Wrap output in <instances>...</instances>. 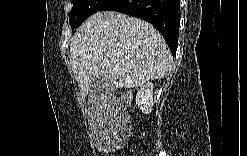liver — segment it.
<instances>
[{"mask_svg":"<svg viewBox=\"0 0 247 156\" xmlns=\"http://www.w3.org/2000/svg\"><path fill=\"white\" fill-rule=\"evenodd\" d=\"M70 54L83 93L100 76L116 88L139 87L163 77L172 62L165 40L151 24L115 11L90 16L72 37Z\"/></svg>","mask_w":247,"mask_h":156,"instance_id":"6515ba94","label":"liver"}]
</instances>
